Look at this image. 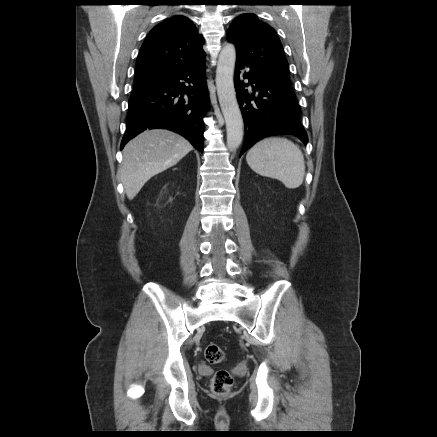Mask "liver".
Returning <instances> with one entry per match:
<instances>
[{
  "label": "liver",
  "mask_w": 437,
  "mask_h": 437,
  "mask_svg": "<svg viewBox=\"0 0 437 437\" xmlns=\"http://www.w3.org/2000/svg\"><path fill=\"white\" fill-rule=\"evenodd\" d=\"M192 150L181 135L166 129L146 130L123 149L120 178L129 200L153 176L176 165Z\"/></svg>",
  "instance_id": "1"
}]
</instances>
